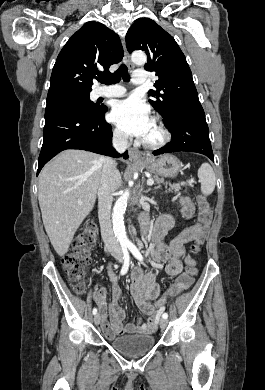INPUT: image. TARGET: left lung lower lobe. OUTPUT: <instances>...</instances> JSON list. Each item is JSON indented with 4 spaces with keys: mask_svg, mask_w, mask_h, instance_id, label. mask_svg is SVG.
Returning a JSON list of instances; mask_svg holds the SVG:
<instances>
[{
    "mask_svg": "<svg viewBox=\"0 0 265 390\" xmlns=\"http://www.w3.org/2000/svg\"><path fill=\"white\" fill-rule=\"evenodd\" d=\"M165 127L172 134L171 141L155 150L154 155L188 151L203 154L214 161L209 128L200 103L179 108Z\"/></svg>",
    "mask_w": 265,
    "mask_h": 390,
    "instance_id": "1",
    "label": "left lung lower lobe"
}]
</instances>
